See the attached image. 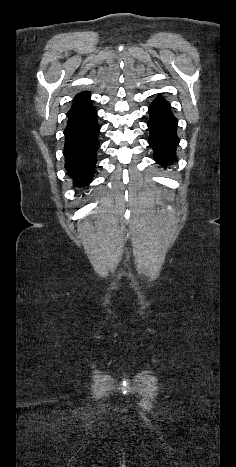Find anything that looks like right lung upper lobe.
Masks as SVG:
<instances>
[{
    "label": "right lung upper lobe",
    "instance_id": "1",
    "mask_svg": "<svg viewBox=\"0 0 236 467\" xmlns=\"http://www.w3.org/2000/svg\"><path fill=\"white\" fill-rule=\"evenodd\" d=\"M90 98V93L89 92H82V93H79L75 96L74 100H73V105L71 107V109L87 102Z\"/></svg>",
    "mask_w": 236,
    "mask_h": 467
}]
</instances>
